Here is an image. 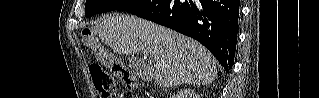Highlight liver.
<instances>
[{
	"label": "liver",
	"instance_id": "1",
	"mask_svg": "<svg viewBox=\"0 0 319 98\" xmlns=\"http://www.w3.org/2000/svg\"><path fill=\"white\" fill-rule=\"evenodd\" d=\"M92 31L117 54L148 51L154 62L151 76L161 87L208 85L217 77L216 61L204 46L151 21L113 13Z\"/></svg>",
	"mask_w": 319,
	"mask_h": 98
}]
</instances>
